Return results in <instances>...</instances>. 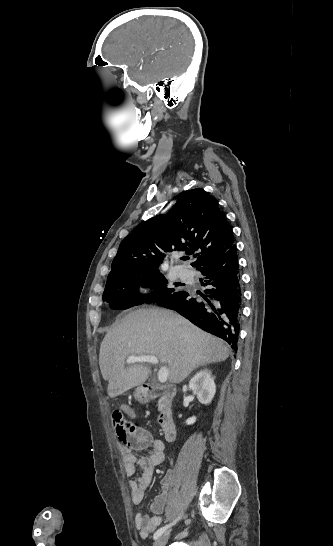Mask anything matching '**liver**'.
I'll return each instance as SVG.
<instances>
[{
    "instance_id": "6515ba94",
    "label": "liver",
    "mask_w": 333,
    "mask_h": 546,
    "mask_svg": "<svg viewBox=\"0 0 333 546\" xmlns=\"http://www.w3.org/2000/svg\"><path fill=\"white\" fill-rule=\"evenodd\" d=\"M132 355H153L168 366L170 383H180L195 368L225 361L229 348L171 311L152 308L130 312L105 335L99 354L109 397L143 384L150 374L145 364L124 368Z\"/></svg>"
}]
</instances>
